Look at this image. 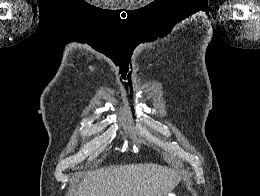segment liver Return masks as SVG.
Instances as JSON below:
<instances>
[{
	"instance_id": "obj_1",
	"label": "liver",
	"mask_w": 260,
	"mask_h": 196,
	"mask_svg": "<svg viewBox=\"0 0 260 196\" xmlns=\"http://www.w3.org/2000/svg\"><path fill=\"white\" fill-rule=\"evenodd\" d=\"M180 182L179 172L158 164H126L88 172L74 196H167Z\"/></svg>"
}]
</instances>
